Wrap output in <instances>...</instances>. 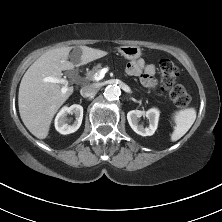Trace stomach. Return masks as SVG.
Masks as SVG:
<instances>
[{"label":"stomach","instance_id":"obj_1","mask_svg":"<svg viewBox=\"0 0 222 222\" xmlns=\"http://www.w3.org/2000/svg\"><path fill=\"white\" fill-rule=\"evenodd\" d=\"M119 52L128 60H135L141 56V48L136 45L121 46Z\"/></svg>","mask_w":222,"mask_h":222}]
</instances>
